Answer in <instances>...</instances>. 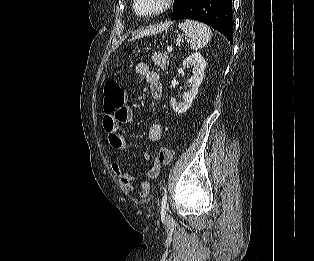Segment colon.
I'll use <instances>...</instances> for the list:
<instances>
[{"instance_id": "colon-1", "label": "colon", "mask_w": 314, "mask_h": 261, "mask_svg": "<svg viewBox=\"0 0 314 261\" xmlns=\"http://www.w3.org/2000/svg\"><path fill=\"white\" fill-rule=\"evenodd\" d=\"M124 91L116 81H108L104 86V110L118 109L124 105ZM173 157V151L167 147H161L157 153V161L161 165L169 164Z\"/></svg>"}]
</instances>
